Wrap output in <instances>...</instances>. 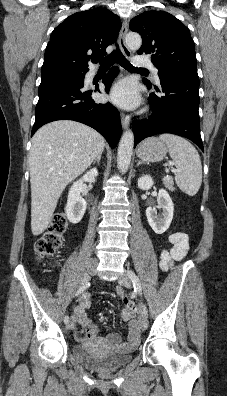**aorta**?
I'll return each instance as SVG.
<instances>
[{
	"label": "aorta",
	"instance_id": "obj_1",
	"mask_svg": "<svg viewBox=\"0 0 227 396\" xmlns=\"http://www.w3.org/2000/svg\"><path fill=\"white\" fill-rule=\"evenodd\" d=\"M127 46L132 50H138L142 45L141 36L138 33H128L125 38ZM134 145V134L131 130L123 133L117 152V165L121 173H125L131 162Z\"/></svg>",
	"mask_w": 227,
	"mask_h": 396
}]
</instances>
